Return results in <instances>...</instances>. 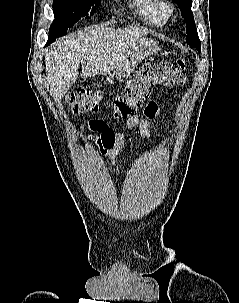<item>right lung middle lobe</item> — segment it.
I'll use <instances>...</instances> for the list:
<instances>
[{
	"instance_id": "1",
	"label": "right lung middle lobe",
	"mask_w": 239,
	"mask_h": 303,
	"mask_svg": "<svg viewBox=\"0 0 239 303\" xmlns=\"http://www.w3.org/2000/svg\"><path fill=\"white\" fill-rule=\"evenodd\" d=\"M100 0H54L53 12L55 20L49 29L50 42L67 33L69 27L73 26L81 17L87 15L91 7L99 6ZM95 7H92L90 14H93ZM87 18V16H86Z\"/></svg>"
}]
</instances>
